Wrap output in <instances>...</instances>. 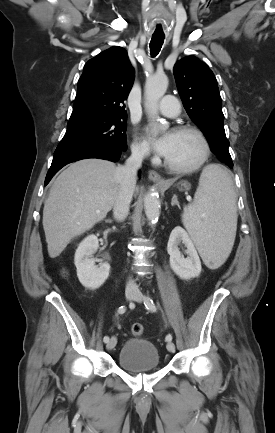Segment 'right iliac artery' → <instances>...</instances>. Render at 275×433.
<instances>
[{
    "mask_svg": "<svg viewBox=\"0 0 275 433\" xmlns=\"http://www.w3.org/2000/svg\"><path fill=\"white\" fill-rule=\"evenodd\" d=\"M125 311H126V307H125V306H120V307L118 308V313H119V314H123V313H125ZM103 341H104L105 343H107V342L109 341V337H108V336H105V337L103 338Z\"/></svg>",
    "mask_w": 275,
    "mask_h": 433,
    "instance_id": "obj_1",
    "label": "right iliac artery"
}]
</instances>
